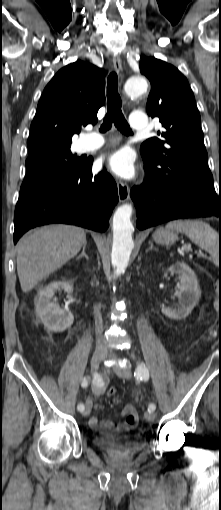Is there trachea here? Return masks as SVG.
<instances>
[{
    "label": "trachea",
    "instance_id": "trachea-1",
    "mask_svg": "<svg viewBox=\"0 0 221 510\" xmlns=\"http://www.w3.org/2000/svg\"><path fill=\"white\" fill-rule=\"evenodd\" d=\"M107 113L104 117L100 131L106 132L112 123L125 134H132V130L124 118L121 107L122 102L118 93V77L115 72L110 73L107 79Z\"/></svg>",
    "mask_w": 221,
    "mask_h": 510
}]
</instances>
